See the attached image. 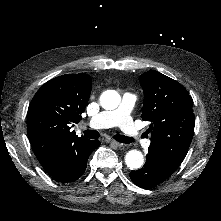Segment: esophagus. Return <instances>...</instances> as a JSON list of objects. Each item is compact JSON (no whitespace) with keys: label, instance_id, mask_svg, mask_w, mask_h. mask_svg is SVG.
Instances as JSON below:
<instances>
[{"label":"esophagus","instance_id":"obj_1","mask_svg":"<svg viewBox=\"0 0 221 221\" xmlns=\"http://www.w3.org/2000/svg\"><path fill=\"white\" fill-rule=\"evenodd\" d=\"M106 142H108V143H110V144H112V145H114L116 147H121L123 145V144H121V143H119L117 141H114L112 139H106Z\"/></svg>","mask_w":221,"mask_h":221}]
</instances>
